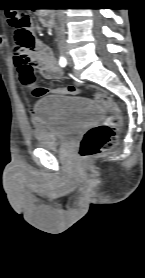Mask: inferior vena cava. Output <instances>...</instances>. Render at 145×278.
Returning <instances> with one entry per match:
<instances>
[{
    "label": "inferior vena cava",
    "mask_w": 145,
    "mask_h": 278,
    "mask_svg": "<svg viewBox=\"0 0 145 278\" xmlns=\"http://www.w3.org/2000/svg\"><path fill=\"white\" fill-rule=\"evenodd\" d=\"M59 20H60L61 26L58 31V37H59L60 41L63 42L65 40L64 14L63 13L59 14Z\"/></svg>",
    "instance_id": "602c4592"
}]
</instances>
